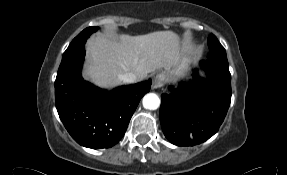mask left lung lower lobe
<instances>
[{"label": "left lung lower lobe", "mask_w": 287, "mask_h": 175, "mask_svg": "<svg viewBox=\"0 0 287 175\" xmlns=\"http://www.w3.org/2000/svg\"><path fill=\"white\" fill-rule=\"evenodd\" d=\"M207 78L169 86L162 94L160 120L165 137L177 146H194L212 137L222 124L231 102V74L222 61L200 62Z\"/></svg>", "instance_id": "1"}]
</instances>
